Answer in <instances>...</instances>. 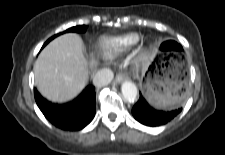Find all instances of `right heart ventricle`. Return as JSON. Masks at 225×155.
<instances>
[{"label": "right heart ventricle", "mask_w": 225, "mask_h": 155, "mask_svg": "<svg viewBox=\"0 0 225 155\" xmlns=\"http://www.w3.org/2000/svg\"><path fill=\"white\" fill-rule=\"evenodd\" d=\"M140 40L138 34H126L104 40L102 49L105 55L111 56L135 45Z\"/></svg>", "instance_id": "obj_1"}]
</instances>
